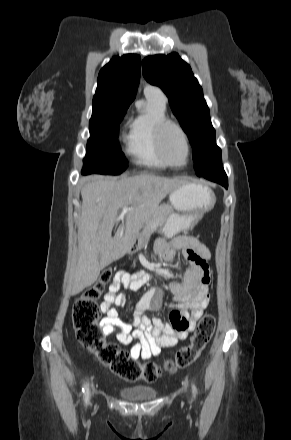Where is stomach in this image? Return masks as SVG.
Instances as JSON below:
<instances>
[{"label":"stomach","mask_w":291,"mask_h":440,"mask_svg":"<svg viewBox=\"0 0 291 440\" xmlns=\"http://www.w3.org/2000/svg\"><path fill=\"white\" fill-rule=\"evenodd\" d=\"M169 200L178 213L170 214L164 224L168 236L196 224L214 207L216 196L208 186L186 181L169 193Z\"/></svg>","instance_id":"stomach-1"}]
</instances>
